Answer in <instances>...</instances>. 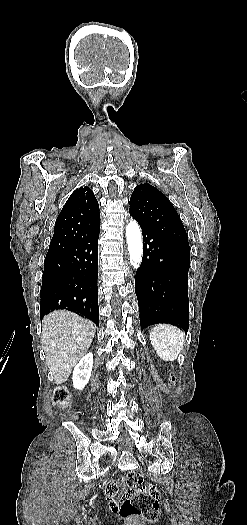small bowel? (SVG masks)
I'll use <instances>...</instances> for the list:
<instances>
[{
  "label": "small bowel",
  "mask_w": 247,
  "mask_h": 525,
  "mask_svg": "<svg viewBox=\"0 0 247 525\" xmlns=\"http://www.w3.org/2000/svg\"><path fill=\"white\" fill-rule=\"evenodd\" d=\"M119 487V482L117 480H111L109 481L107 487H106V506L109 508L110 512L113 514H116L119 512L120 507L118 504L115 503L116 497V490Z\"/></svg>",
  "instance_id": "small-bowel-1"
}]
</instances>
